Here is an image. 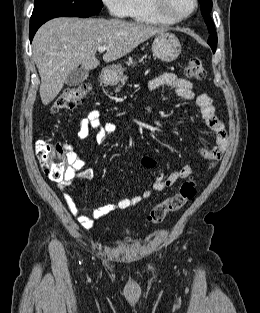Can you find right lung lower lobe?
I'll list each match as a JSON object with an SVG mask.
<instances>
[{"instance_id":"right-lung-lower-lobe-1","label":"right lung lower lobe","mask_w":260,"mask_h":313,"mask_svg":"<svg viewBox=\"0 0 260 313\" xmlns=\"http://www.w3.org/2000/svg\"><path fill=\"white\" fill-rule=\"evenodd\" d=\"M90 17L92 15H78V14H59V13H43V14H35L31 16L30 19V41H32L34 34L37 29L46 21L55 18V17Z\"/></svg>"}]
</instances>
